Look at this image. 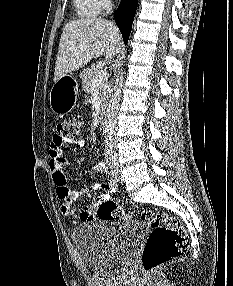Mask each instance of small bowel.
<instances>
[{"instance_id": "obj_1", "label": "small bowel", "mask_w": 233, "mask_h": 286, "mask_svg": "<svg viewBox=\"0 0 233 286\" xmlns=\"http://www.w3.org/2000/svg\"><path fill=\"white\" fill-rule=\"evenodd\" d=\"M69 143L68 141L59 139L56 135L53 137L50 149H49V168L56 185V192L58 198L61 200V213L64 216H71L75 213L73 203L84 193L93 192L98 190H104L105 192L100 196L99 202L107 201L110 199V193L114 192L117 188L115 182L107 180L103 183H93L89 187L83 190H73L67 185L64 167L67 161L63 158V146ZM78 147H83L85 141L80 139L74 142ZM97 170L101 172L106 171L104 163H100L97 166ZM95 204L85 205L79 214V218L82 221H90L94 219Z\"/></svg>"}]
</instances>
